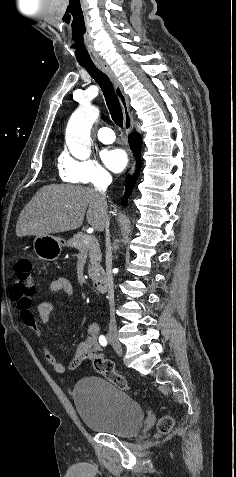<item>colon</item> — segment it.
Here are the masks:
<instances>
[{
	"label": "colon",
	"mask_w": 236,
	"mask_h": 477,
	"mask_svg": "<svg viewBox=\"0 0 236 477\" xmlns=\"http://www.w3.org/2000/svg\"><path fill=\"white\" fill-rule=\"evenodd\" d=\"M35 292V284L32 276V263L29 259L23 258L16 262L13 268V281L10 289V296L18 303L20 310L31 308L32 297ZM95 370L104 375L116 387L128 390V381L114 370L112 361L96 356L92 360ZM173 425L171 418L166 417L161 421L160 430L168 433Z\"/></svg>",
	"instance_id": "1"
}]
</instances>
